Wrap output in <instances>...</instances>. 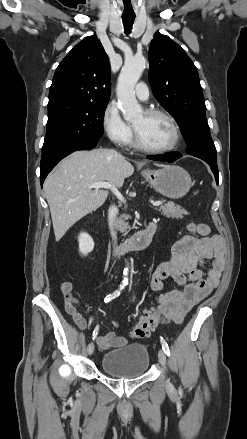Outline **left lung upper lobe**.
Wrapping results in <instances>:
<instances>
[{
	"label": "left lung upper lobe",
	"mask_w": 247,
	"mask_h": 439,
	"mask_svg": "<svg viewBox=\"0 0 247 439\" xmlns=\"http://www.w3.org/2000/svg\"><path fill=\"white\" fill-rule=\"evenodd\" d=\"M149 81L157 101L175 118L188 153L218 170L197 69L168 36L155 34L149 49Z\"/></svg>",
	"instance_id": "5c2ea615"
}]
</instances>
